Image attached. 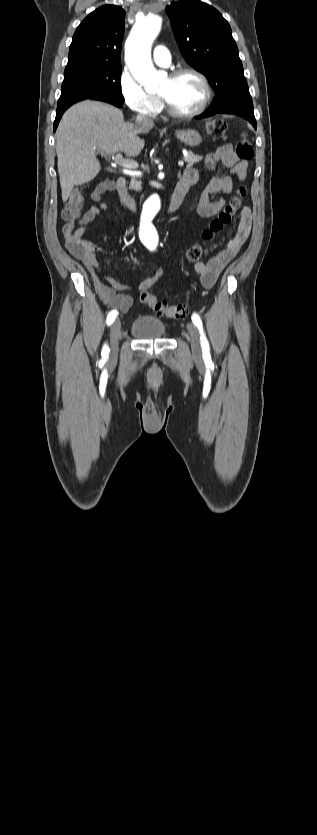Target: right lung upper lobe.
I'll return each instance as SVG.
<instances>
[{"mask_svg": "<svg viewBox=\"0 0 317 835\" xmlns=\"http://www.w3.org/2000/svg\"><path fill=\"white\" fill-rule=\"evenodd\" d=\"M124 20L125 11L116 5H104L89 14L74 33L67 65H120Z\"/></svg>", "mask_w": 317, "mask_h": 835, "instance_id": "1", "label": "right lung upper lobe"}]
</instances>
